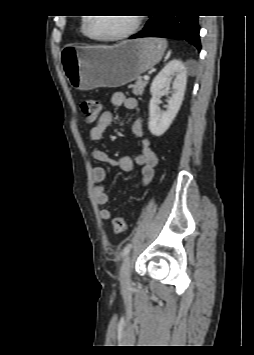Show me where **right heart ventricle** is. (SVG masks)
Segmentation results:
<instances>
[{
	"mask_svg": "<svg viewBox=\"0 0 254 355\" xmlns=\"http://www.w3.org/2000/svg\"><path fill=\"white\" fill-rule=\"evenodd\" d=\"M85 22H86V17H83V18L81 19L80 30H81V33H82L85 37H88L87 34H86V31H85Z\"/></svg>",
	"mask_w": 254,
	"mask_h": 355,
	"instance_id": "e07e8e85",
	"label": "right heart ventricle"
}]
</instances>
